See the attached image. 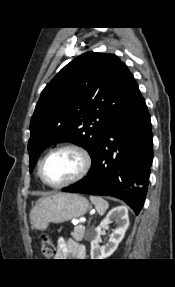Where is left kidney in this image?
Masks as SVG:
<instances>
[{"instance_id":"left-kidney-1","label":"left kidney","mask_w":175,"mask_h":287,"mask_svg":"<svg viewBox=\"0 0 175 287\" xmlns=\"http://www.w3.org/2000/svg\"><path fill=\"white\" fill-rule=\"evenodd\" d=\"M112 219H115L118 226L113 230L110 239L104 246L99 245L101 229L107 227ZM129 226L128 210L125 206H118L108 212L100 225L95 228L94 239L91 241V259H105L111 256L117 249L119 243L125 236Z\"/></svg>"}]
</instances>
